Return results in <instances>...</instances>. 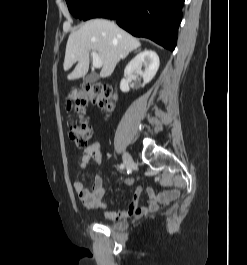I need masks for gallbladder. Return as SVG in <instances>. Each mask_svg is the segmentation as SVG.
<instances>
[{"label": "gallbladder", "instance_id": "gallbladder-1", "mask_svg": "<svg viewBox=\"0 0 247 265\" xmlns=\"http://www.w3.org/2000/svg\"><path fill=\"white\" fill-rule=\"evenodd\" d=\"M96 80V76L93 75V74H90V75H87L85 78H84V81L86 83H92Z\"/></svg>", "mask_w": 247, "mask_h": 265}]
</instances>
